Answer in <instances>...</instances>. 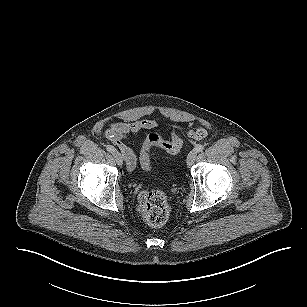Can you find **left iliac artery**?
Listing matches in <instances>:
<instances>
[{
  "label": "left iliac artery",
  "instance_id": "44dca946",
  "mask_svg": "<svg viewBox=\"0 0 307 307\" xmlns=\"http://www.w3.org/2000/svg\"><path fill=\"white\" fill-rule=\"evenodd\" d=\"M194 150L196 152H202L204 150V146L202 144H198L195 146Z\"/></svg>",
  "mask_w": 307,
  "mask_h": 307
}]
</instances>
